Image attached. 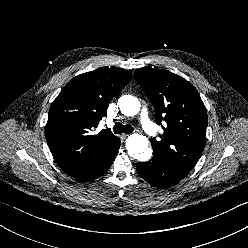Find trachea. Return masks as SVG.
Listing matches in <instances>:
<instances>
[{"label": "trachea", "mask_w": 248, "mask_h": 248, "mask_svg": "<svg viewBox=\"0 0 248 248\" xmlns=\"http://www.w3.org/2000/svg\"><path fill=\"white\" fill-rule=\"evenodd\" d=\"M113 131L115 134L120 133H132L134 131V128L131 125H123L121 123H116L113 127Z\"/></svg>", "instance_id": "1"}]
</instances>
